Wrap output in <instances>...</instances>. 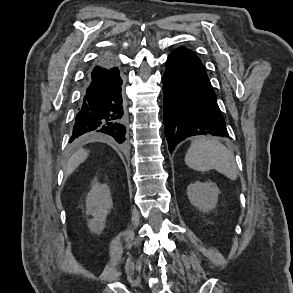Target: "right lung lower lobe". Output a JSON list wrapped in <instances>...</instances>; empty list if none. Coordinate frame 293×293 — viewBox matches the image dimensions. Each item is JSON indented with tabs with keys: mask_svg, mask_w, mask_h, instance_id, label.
Returning <instances> with one entry per match:
<instances>
[{
	"mask_svg": "<svg viewBox=\"0 0 293 293\" xmlns=\"http://www.w3.org/2000/svg\"><path fill=\"white\" fill-rule=\"evenodd\" d=\"M121 86L120 71L112 59L102 58L89 70L69 142L110 138L121 144L126 140Z\"/></svg>",
	"mask_w": 293,
	"mask_h": 293,
	"instance_id": "right-lung-lower-lobe-1",
	"label": "right lung lower lobe"
}]
</instances>
